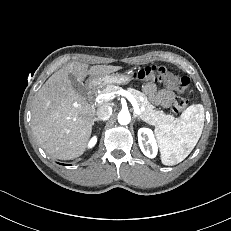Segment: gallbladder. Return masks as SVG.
<instances>
[{"label":"gallbladder","mask_w":231,"mask_h":231,"mask_svg":"<svg viewBox=\"0 0 231 231\" xmlns=\"http://www.w3.org/2000/svg\"><path fill=\"white\" fill-rule=\"evenodd\" d=\"M69 79L71 82L72 87L76 90L77 93L80 95H84L87 91L86 87L80 82L76 76L69 74Z\"/></svg>","instance_id":"1"}]
</instances>
